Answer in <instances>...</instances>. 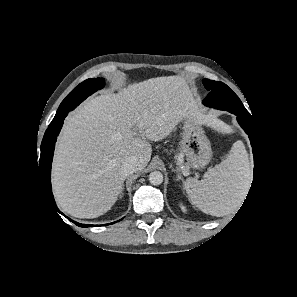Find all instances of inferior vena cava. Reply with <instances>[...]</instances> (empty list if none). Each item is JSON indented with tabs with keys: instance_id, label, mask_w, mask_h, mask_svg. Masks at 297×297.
Returning a JSON list of instances; mask_svg holds the SVG:
<instances>
[{
	"instance_id": "1",
	"label": "inferior vena cava",
	"mask_w": 297,
	"mask_h": 297,
	"mask_svg": "<svg viewBox=\"0 0 297 297\" xmlns=\"http://www.w3.org/2000/svg\"><path fill=\"white\" fill-rule=\"evenodd\" d=\"M137 166L138 165L136 159L134 157H130L122 164V172L125 176H127L135 172L137 170Z\"/></svg>"
}]
</instances>
